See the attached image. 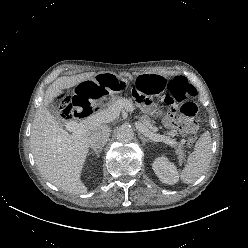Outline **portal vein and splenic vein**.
Listing matches in <instances>:
<instances>
[{
  "label": "portal vein and splenic vein",
  "instance_id": "obj_1",
  "mask_svg": "<svg viewBox=\"0 0 248 248\" xmlns=\"http://www.w3.org/2000/svg\"><path fill=\"white\" fill-rule=\"evenodd\" d=\"M127 111L133 112V107L129 103L123 104ZM121 111V106H118V104L109 106L106 110H103L96 115H93L81 122L77 121H68L65 124V129L67 131L72 132L73 135L81 134L83 131H85L87 128L100 124V123H109L115 120ZM136 128L138 131L143 134L145 137H148L149 139L155 141V142H165L167 144H171L172 141L170 138L164 135L155 134L151 130L145 127L141 122L135 123Z\"/></svg>",
  "mask_w": 248,
  "mask_h": 248
}]
</instances>
